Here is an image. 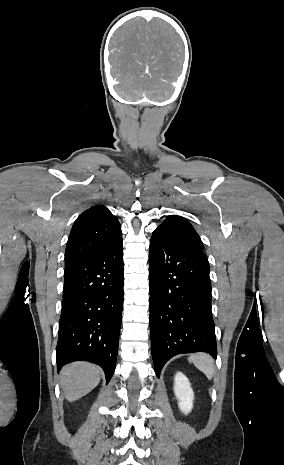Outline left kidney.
<instances>
[{
    "instance_id": "5707ae66",
    "label": "left kidney",
    "mask_w": 284,
    "mask_h": 465,
    "mask_svg": "<svg viewBox=\"0 0 284 465\" xmlns=\"http://www.w3.org/2000/svg\"><path fill=\"white\" fill-rule=\"evenodd\" d=\"M174 381V393L176 399L179 401L178 407L181 413L188 415L193 409L194 401V393L191 389V385L183 373H176Z\"/></svg>"
}]
</instances>
